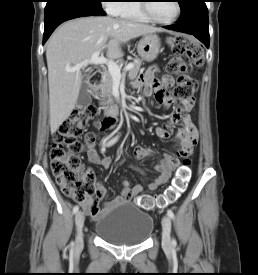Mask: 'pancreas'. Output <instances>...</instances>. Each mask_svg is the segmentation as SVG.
Returning a JSON list of instances; mask_svg holds the SVG:
<instances>
[{"instance_id":"obj_1","label":"pancreas","mask_w":258,"mask_h":275,"mask_svg":"<svg viewBox=\"0 0 258 275\" xmlns=\"http://www.w3.org/2000/svg\"><path fill=\"white\" fill-rule=\"evenodd\" d=\"M131 63L133 64V68L129 70L128 77L129 79H134L136 78L140 70L142 60L139 58H135ZM112 86H113V77L111 73L107 71L104 73V80L100 86L101 97L103 99L101 103H104L106 101V98L108 99V101L112 100Z\"/></svg>"}]
</instances>
